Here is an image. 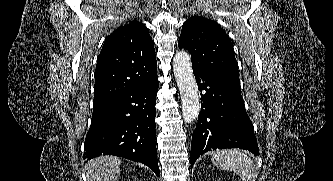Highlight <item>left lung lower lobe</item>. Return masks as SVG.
Masks as SVG:
<instances>
[{
  "label": "left lung lower lobe",
  "instance_id": "obj_1",
  "mask_svg": "<svg viewBox=\"0 0 333 181\" xmlns=\"http://www.w3.org/2000/svg\"><path fill=\"white\" fill-rule=\"evenodd\" d=\"M201 94V111L192 135L191 168L204 152L241 148L259 155L254 127L240 90L210 74L193 69Z\"/></svg>",
  "mask_w": 333,
  "mask_h": 181
}]
</instances>
